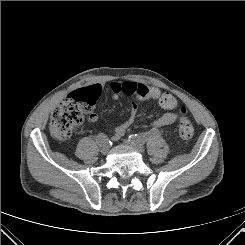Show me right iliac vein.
I'll return each instance as SVG.
<instances>
[{"label":"right iliac vein","mask_w":245,"mask_h":245,"mask_svg":"<svg viewBox=\"0 0 245 245\" xmlns=\"http://www.w3.org/2000/svg\"><path fill=\"white\" fill-rule=\"evenodd\" d=\"M108 147L107 146H102L101 147V149H100V151H101V153L103 154V155H106L107 153H108Z\"/></svg>","instance_id":"right-iliac-vein-1"}]
</instances>
